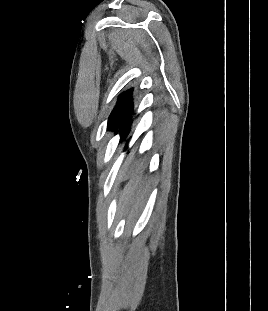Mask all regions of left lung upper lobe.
Segmentation results:
<instances>
[{
	"label": "left lung upper lobe",
	"mask_w": 268,
	"mask_h": 311,
	"mask_svg": "<svg viewBox=\"0 0 268 311\" xmlns=\"http://www.w3.org/2000/svg\"><path fill=\"white\" fill-rule=\"evenodd\" d=\"M132 92H133V88L123 92L118 97V101H117L113 111L111 112V114L109 116L108 124H107V130H112L115 132L117 131L120 113L123 110V108L125 107L126 102L129 99ZM133 114H134V112H133ZM131 118H132V116H131Z\"/></svg>",
	"instance_id": "5c2ea615"
}]
</instances>
